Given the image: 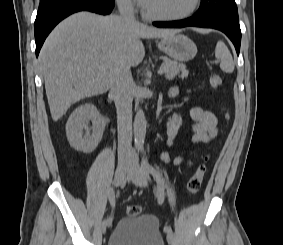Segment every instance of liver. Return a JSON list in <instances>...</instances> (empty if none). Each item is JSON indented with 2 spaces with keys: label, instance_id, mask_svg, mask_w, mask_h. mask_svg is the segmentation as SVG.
Here are the masks:
<instances>
[{
  "label": "liver",
  "instance_id": "6515ba94",
  "mask_svg": "<svg viewBox=\"0 0 283 245\" xmlns=\"http://www.w3.org/2000/svg\"><path fill=\"white\" fill-rule=\"evenodd\" d=\"M175 33L117 15L79 12L63 20L39 55L52 119L58 121L80 99L107 92L120 69L140 64L145 55L141 38Z\"/></svg>",
  "mask_w": 283,
  "mask_h": 245
}]
</instances>
